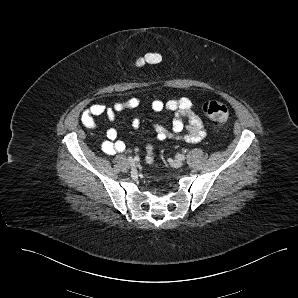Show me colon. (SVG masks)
Returning <instances> with one entry per match:
<instances>
[{"label": "colon", "instance_id": "5ec220e1", "mask_svg": "<svg viewBox=\"0 0 298 298\" xmlns=\"http://www.w3.org/2000/svg\"><path fill=\"white\" fill-rule=\"evenodd\" d=\"M160 61L159 56L156 53H148L137 60V64L143 66L145 64H156ZM204 115L212 122L219 125H226L229 120L228 107L218 101H207L202 106ZM149 160H152V152L149 150Z\"/></svg>", "mask_w": 298, "mask_h": 298}]
</instances>
